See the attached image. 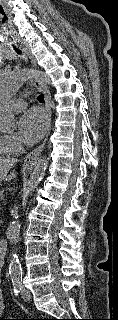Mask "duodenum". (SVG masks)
I'll list each match as a JSON object with an SVG mask.
<instances>
[{"label":"duodenum","mask_w":118,"mask_h":320,"mask_svg":"<svg viewBox=\"0 0 118 320\" xmlns=\"http://www.w3.org/2000/svg\"><path fill=\"white\" fill-rule=\"evenodd\" d=\"M7 250V241L0 240V266H3Z\"/></svg>","instance_id":"410a0bca"}]
</instances>
